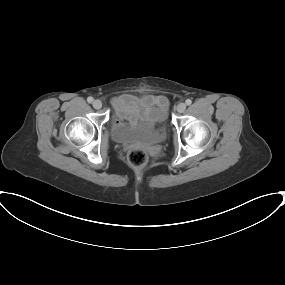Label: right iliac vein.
I'll return each mask as SVG.
<instances>
[{"label": "right iliac vein", "instance_id": "obj_1", "mask_svg": "<svg viewBox=\"0 0 285 285\" xmlns=\"http://www.w3.org/2000/svg\"><path fill=\"white\" fill-rule=\"evenodd\" d=\"M92 105L95 109H100L102 107V102L99 99H97L93 101Z\"/></svg>", "mask_w": 285, "mask_h": 285}]
</instances>
